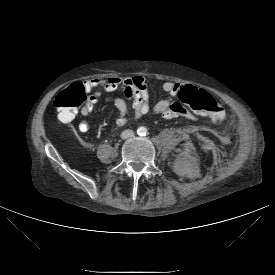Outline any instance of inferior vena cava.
<instances>
[{
	"instance_id": "602c4592",
	"label": "inferior vena cava",
	"mask_w": 275,
	"mask_h": 275,
	"mask_svg": "<svg viewBox=\"0 0 275 275\" xmlns=\"http://www.w3.org/2000/svg\"><path fill=\"white\" fill-rule=\"evenodd\" d=\"M133 136H134V132H133V130H130V129L124 130L121 133V138L122 139L132 138Z\"/></svg>"
}]
</instances>
